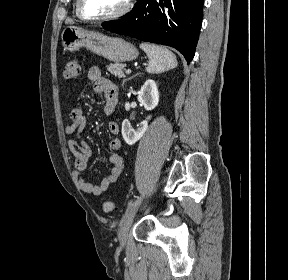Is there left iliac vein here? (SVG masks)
Masks as SVG:
<instances>
[{
    "instance_id": "obj_1",
    "label": "left iliac vein",
    "mask_w": 288,
    "mask_h": 280,
    "mask_svg": "<svg viewBox=\"0 0 288 280\" xmlns=\"http://www.w3.org/2000/svg\"><path fill=\"white\" fill-rule=\"evenodd\" d=\"M141 201L142 196L138 197L136 199V203L132 204V207L129 209L130 210L129 213L124 214L123 220L118 230V239L122 246L125 245L127 242L129 228L132 224L133 218L138 210V207L141 204Z\"/></svg>"
}]
</instances>
